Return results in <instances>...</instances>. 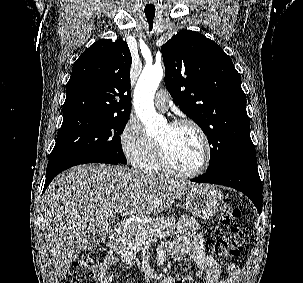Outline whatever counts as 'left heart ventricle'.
Wrapping results in <instances>:
<instances>
[{"instance_id":"b2bd125f","label":"left heart ventricle","mask_w":303,"mask_h":283,"mask_svg":"<svg viewBox=\"0 0 303 283\" xmlns=\"http://www.w3.org/2000/svg\"><path fill=\"white\" fill-rule=\"evenodd\" d=\"M166 149L173 166L183 172L196 170L203 161V145L197 132L190 126H164L156 136Z\"/></svg>"}]
</instances>
